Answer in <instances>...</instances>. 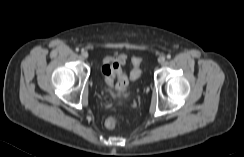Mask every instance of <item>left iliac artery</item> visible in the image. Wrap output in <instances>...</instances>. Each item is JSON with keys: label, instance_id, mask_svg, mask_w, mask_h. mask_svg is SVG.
Here are the masks:
<instances>
[{"label": "left iliac artery", "instance_id": "left-iliac-artery-1", "mask_svg": "<svg viewBox=\"0 0 244 157\" xmlns=\"http://www.w3.org/2000/svg\"><path fill=\"white\" fill-rule=\"evenodd\" d=\"M170 58H171V55H170V54H168V55H167V59H170Z\"/></svg>", "mask_w": 244, "mask_h": 157}]
</instances>
